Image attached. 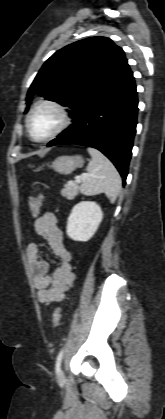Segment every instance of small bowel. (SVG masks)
<instances>
[{
    "label": "small bowel",
    "mask_w": 165,
    "mask_h": 419,
    "mask_svg": "<svg viewBox=\"0 0 165 419\" xmlns=\"http://www.w3.org/2000/svg\"><path fill=\"white\" fill-rule=\"evenodd\" d=\"M35 231L48 242L59 259L54 272L49 274V263L42 258L39 244L32 242L26 250L38 301L49 305L61 301L75 282L72 254L64 245L63 232L53 212H45L35 220Z\"/></svg>",
    "instance_id": "1"
}]
</instances>
